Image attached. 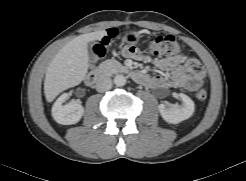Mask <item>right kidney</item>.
<instances>
[{"instance_id": "obj_1", "label": "right kidney", "mask_w": 246, "mask_h": 181, "mask_svg": "<svg viewBox=\"0 0 246 181\" xmlns=\"http://www.w3.org/2000/svg\"><path fill=\"white\" fill-rule=\"evenodd\" d=\"M67 98V94H62L54 103L52 107V117L54 120L62 125L76 124L83 116V107L75 102H69L62 105Z\"/></svg>"}]
</instances>
